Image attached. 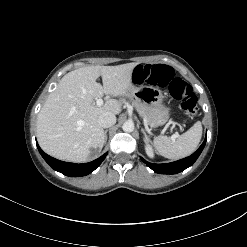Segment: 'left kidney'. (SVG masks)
I'll return each mask as SVG.
<instances>
[{"mask_svg": "<svg viewBox=\"0 0 247 247\" xmlns=\"http://www.w3.org/2000/svg\"><path fill=\"white\" fill-rule=\"evenodd\" d=\"M145 151H146V154L149 158H154V151H153V148L152 146L145 141Z\"/></svg>", "mask_w": 247, "mask_h": 247, "instance_id": "5707ae66", "label": "left kidney"}]
</instances>
